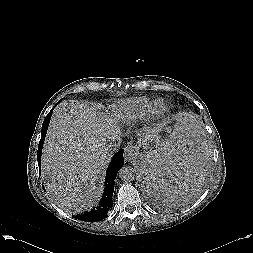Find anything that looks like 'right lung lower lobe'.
<instances>
[{"mask_svg":"<svg viewBox=\"0 0 253 253\" xmlns=\"http://www.w3.org/2000/svg\"><path fill=\"white\" fill-rule=\"evenodd\" d=\"M52 112H53V109L48 113L42 125L41 139L38 145V153H37V160H38L39 166L41 163L40 160H41L43 142L47 133ZM123 152H124L123 149L119 150L113 156L107 168L106 177H105V189H104L102 199L99 202L98 206L89 212H85L84 214L73 216L74 218L82 220V221L96 222V221L103 220L104 218L108 216L107 213L112 208V204H113L112 196H113V191H114L115 178H116L117 172L124 164Z\"/></svg>","mask_w":253,"mask_h":253,"instance_id":"98d812e1","label":"right lung lower lobe"}]
</instances>
